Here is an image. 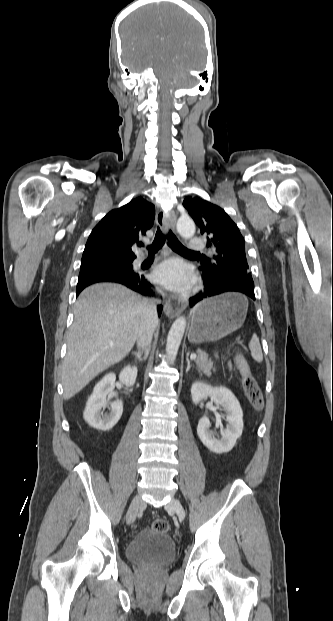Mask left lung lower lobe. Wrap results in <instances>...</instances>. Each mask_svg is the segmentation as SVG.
Here are the masks:
<instances>
[{
    "label": "left lung lower lobe",
    "mask_w": 333,
    "mask_h": 621,
    "mask_svg": "<svg viewBox=\"0 0 333 621\" xmlns=\"http://www.w3.org/2000/svg\"><path fill=\"white\" fill-rule=\"evenodd\" d=\"M202 277L205 288L190 298L191 307L203 299L229 291L244 293L255 300L254 282L249 275L231 274L214 279L209 272H202Z\"/></svg>",
    "instance_id": "1"
}]
</instances>
